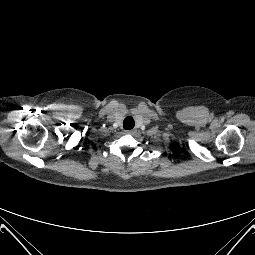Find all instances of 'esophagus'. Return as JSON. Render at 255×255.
Here are the masks:
<instances>
[{
    "label": "esophagus",
    "instance_id": "obj_1",
    "mask_svg": "<svg viewBox=\"0 0 255 255\" xmlns=\"http://www.w3.org/2000/svg\"><path fill=\"white\" fill-rule=\"evenodd\" d=\"M133 132H134V130H132V129L126 130L127 134H132Z\"/></svg>",
    "mask_w": 255,
    "mask_h": 255
}]
</instances>
